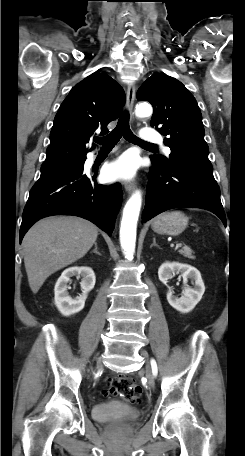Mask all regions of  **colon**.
Masks as SVG:
<instances>
[{
    "label": "colon",
    "mask_w": 245,
    "mask_h": 456,
    "mask_svg": "<svg viewBox=\"0 0 245 456\" xmlns=\"http://www.w3.org/2000/svg\"><path fill=\"white\" fill-rule=\"evenodd\" d=\"M103 393L106 396H118L125 401L138 403L141 399L142 387L130 377L116 376L110 379Z\"/></svg>",
    "instance_id": "colon-1"
}]
</instances>
